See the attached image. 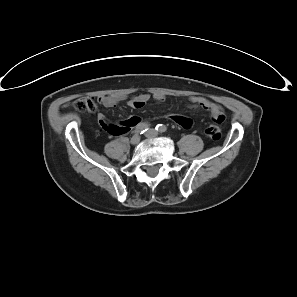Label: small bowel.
<instances>
[{
	"label": "small bowel",
	"mask_w": 297,
	"mask_h": 297,
	"mask_svg": "<svg viewBox=\"0 0 297 297\" xmlns=\"http://www.w3.org/2000/svg\"><path fill=\"white\" fill-rule=\"evenodd\" d=\"M156 101H163L164 96L162 95H155L153 97ZM125 100V98H119L114 96H103L100 98L101 103L108 108H112L117 106L121 101ZM149 100V96L146 94H142L136 97H133L127 101V105L134 109H141L143 108ZM191 107L197 108L201 107L205 110H208L214 120L218 118H222L224 120V111L223 108L205 98L192 96L189 98ZM100 124L104 127L106 131L112 134H121L126 133L129 128L133 126H137L139 123V119L137 117H131L126 119L120 123L119 126L110 125L106 123L105 117L100 114L98 116ZM169 119L183 128H191L193 126V121L190 118L179 116V115H170Z\"/></svg>",
	"instance_id": "small-bowel-1"
}]
</instances>
